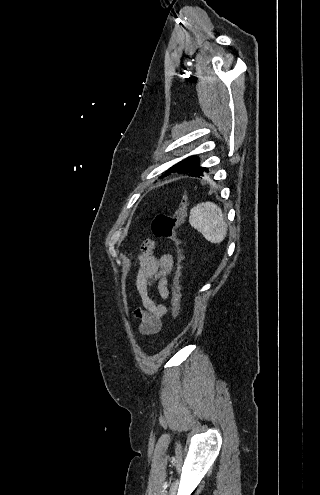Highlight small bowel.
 <instances>
[{
    "label": "small bowel",
    "instance_id": "small-bowel-1",
    "mask_svg": "<svg viewBox=\"0 0 320 495\" xmlns=\"http://www.w3.org/2000/svg\"><path fill=\"white\" fill-rule=\"evenodd\" d=\"M155 240L146 238L140 244L138 253L139 269L136 276V288L141 297L143 309H136L135 318L139 321V332L142 335H153L160 331L163 318L168 312L165 303L156 302L150 295L151 287L157 284L160 297L169 298L168 277L173 269L174 260L170 253H162L159 257L155 251Z\"/></svg>",
    "mask_w": 320,
    "mask_h": 495
}]
</instances>
